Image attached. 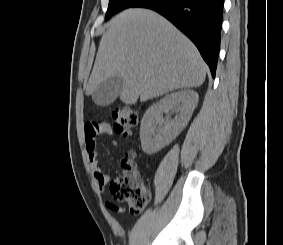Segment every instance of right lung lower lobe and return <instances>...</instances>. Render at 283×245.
<instances>
[{
    "label": "right lung lower lobe",
    "mask_w": 283,
    "mask_h": 245,
    "mask_svg": "<svg viewBox=\"0 0 283 245\" xmlns=\"http://www.w3.org/2000/svg\"><path fill=\"white\" fill-rule=\"evenodd\" d=\"M224 0H140L132 7L152 9L189 37L215 77Z\"/></svg>",
    "instance_id": "obj_1"
}]
</instances>
